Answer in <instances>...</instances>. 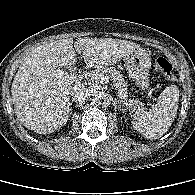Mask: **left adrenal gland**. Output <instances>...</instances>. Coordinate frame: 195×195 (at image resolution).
Instances as JSON below:
<instances>
[{
	"mask_svg": "<svg viewBox=\"0 0 195 195\" xmlns=\"http://www.w3.org/2000/svg\"><path fill=\"white\" fill-rule=\"evenodd\" d=\"M113 104H114V107H115V108H117V104H119V105H118V108L121 110V104H120L119 102L114 101ZM122 110H123V109H122Z\"/></svg>",
	"mask_w": 195,
	"mask_h": 195,
	"instance_id": "1",
	"label": "left adrenal gland"
}]
</instances>
